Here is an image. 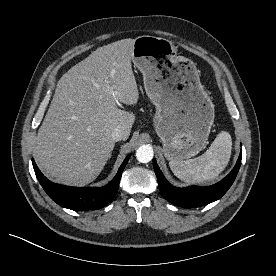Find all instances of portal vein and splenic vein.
I'll list each match as a JSON object with an SVG mask.
<instances>
[{
    "label": "portal vein and splenic vein",
    "instance_id": "1",
    "mask_svg": "<svg viewBox=\"0 0 276 276\" xmlns=\"http://www.w3.org/2000/svg\"><path fill=\"white\" fill-rule=\"evenodd\" d=\"M113 95L115 94L113 91L111 92Z\"/></svg>",
    "mask_w": 276,
    "mask_h": 276
}]
</instances>
